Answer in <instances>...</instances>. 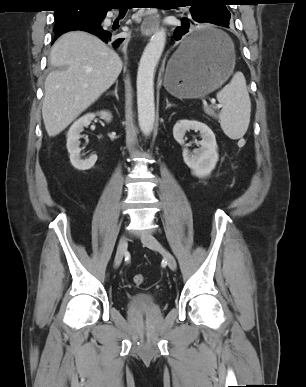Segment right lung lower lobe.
Masks as SVG:
<instances>
[{"label": "right lung lower lobe", "mask_w": 306, "mask_h": 387, "mask_svg": "<svg viewBox=\"0 0 306 387\" xmlns=\"http://www.w3.org/2000/svg\"><path fill=\"white\" fill-rule=\"evenodd\" d=\"M111 10L110 8L107 10H102L103 12L100 14V17L91 21V23H84V24H77L73 27H70L68 29L57 31L55 32L56 36L59 37L61 34L72 31V30H82L86 31L92 34L97 35L99 38H101L106 43H112L115 47H117L122 41V38L117 39V27H106L102 22L103 19L106 16L107 11Z\"/></svg>", "instance_id": "right-lung-lower-lobe-1"}]
</instances>
